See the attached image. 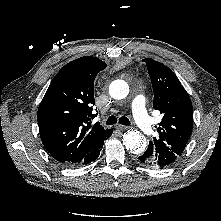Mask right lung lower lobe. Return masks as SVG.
I'll use <instances>...</instances> for the list:
<instances>
[{
	"label": "right lung lower lobe",
	"instance_id": "1",
	"mask_svg": "<svg viewBox=\"0 0 221 221\" xmlns=\"http://www.w3.org/2000/svg\"><path fill=\"white\" fill-rule=\"evenodd\" d=\"M111 135H112V130L108 129L107 133H106L104 139L102 140V142L100 143V145L97 148L93 149L90 153H88L79 163L74 164V166L89 164L90 162L96 160V158H98V156L100 154L101 148L103 147L104 140L108 139Z\"/></svg>",
	"mask_w": 221,
	"mask_h": 221
}]
</instances>
